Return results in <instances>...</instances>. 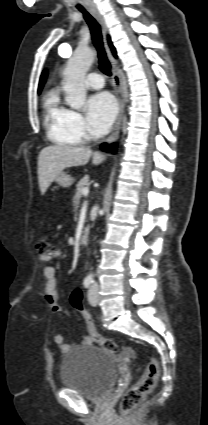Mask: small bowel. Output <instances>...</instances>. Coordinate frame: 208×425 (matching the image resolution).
Segmentation results:
<instances>
[{
  "mask_svg": "<svg viewBox=\"0 0 208 425\" xmlns=\"http://www.w3.org/2000/svg\"><path fill=\"white\" fill-rule=\"evenodd\" d=\"M60 255H61V252L56 250L49 255L41 254L39 259L40 261L44 263H49L52 260V258L59 257ZM43 274L46 279V284H45L46 302L48 303L49 308L53 313H59L61 312V306L58 303L59 287H58V278H57L56 269L53 266L47 265L43 269ZM54 342L63 352H68L71 349V345L65 342L64 337L58 331L54 335ZM90 342H91V339L89 337H85L81 343L83 345H88Z\"/></svg>",
  "mask_w": 208,
  "mask_h": 425,
  "instance_id": "c3829d8e",
  "label": "small bowel"
}]
</instances>
